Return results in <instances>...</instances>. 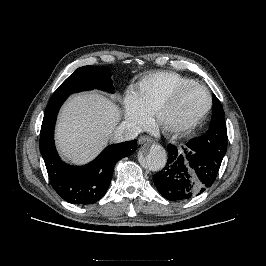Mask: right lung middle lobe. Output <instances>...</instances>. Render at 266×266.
I'll use <instances>...</instances> for the list:
<instances>
[{"mask_svg":"<svg viewBox=\"0 0 266 266\" xmlns=\"http://www.w3.org/2000/svg\"><path fill=\"white\" fill-rule=\"evenodd\" d=\"M110 75V70L105 67H80L59 86L54 94L70 95L94 88L113 93L114 87Z\"/></svg>","mask_w":266,"mask_h":266,"instance_id":"obj_1","label":"right lung middle lobe"}]
</instances>
